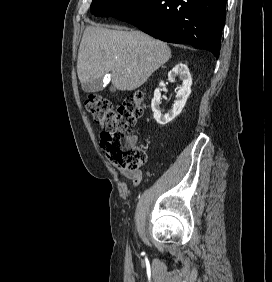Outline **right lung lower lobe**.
Here are the masks:
<instances>
[{
	"label": "right lung lower lobe",
	"instance_id": "obj_1",
	"mask_svg": "<svg viewBox=\"0 0 272 282\" xmlns=\"http://www.w3.org/2000/svg\"><path fill=\"white\" fill-rule=\"evenodd\" d=\"M227 0H138L111 16L170 43H187L219 57Z\"/></svg>",
	"mask_w": 272,
	"mask_h": 282
}]
</instances>
